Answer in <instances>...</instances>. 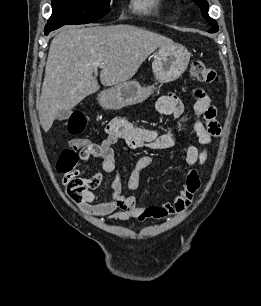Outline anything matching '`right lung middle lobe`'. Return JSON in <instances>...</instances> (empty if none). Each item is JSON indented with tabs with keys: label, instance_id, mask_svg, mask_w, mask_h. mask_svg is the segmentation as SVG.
Returning a JSON list of instances; mask_svg holds the SVG:
<instances>
[{
	"label": "right lung middle lobe",
	"instance_id": "1",
	"mask_svg": "<svg viewBox=\"0 0 261 306\" xmlns=\"http://www.w3.org/2000/svg\"><path fill=\"white\" fill-rule=\"evenodd\" d=\"M110 12V0H52L48 24H86Z\"/></svg>",
	"mask_w": 261,
	"mask_h": 306
}]
</instances>
